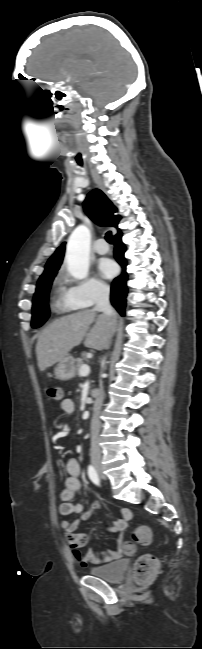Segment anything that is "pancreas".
Masks as SVG:
<instances>
[{"instance_id": "pancreas-1", "label": "pancreas", "mask_w": 202, "mask_h": 649, "mask_svg": "<svg viewBox=\"0 0 202 649\" xmlns=\"http://www.w3.org/2000/svg\"><path fill=\"white\" fill-rule=\"evenodd\" d=\"M83 365H85V363L82 360H78V373H77L78 375H80L79 370Z\"/></svg>"}]
</instances>
